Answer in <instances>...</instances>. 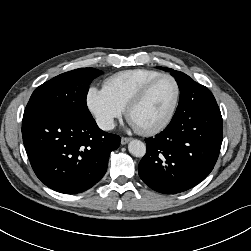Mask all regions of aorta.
Masks as SVG:
<instances>
[{
	"label": "aorta",
	"mask_w": 251,
	"mask_h": 251,
	"mask_svg": "<svg viewBox=\"0 0 251 251\" xmlns=\"http://www.w3.org/2000/svg\"><path fill=\"white\" fill-rule=\"evenodd\" d=\"M128 150L133 156L140 158L145 155L146 146L142 141L134 139L128 144Z\"/></svg>",
	"instance_id": "1"
}]
</instances>
